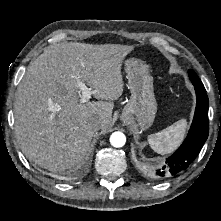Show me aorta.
Instances as JSON below:
<instances>
[{"instance_id":"aorta-1","label":"aorta","mask_w":221,"mask_h":221,"mask_svg":"<svg viewBox=\"0 0 221 221\" xmlns=\"http://www.w3.org/2000/svg\"><path fill=\"white\" fill-rule=\"evenodd\" d=\"M110 143L113 147L119 148L125 145L126 137L122 132H114L110 136Z\"/></svg>"}]
</instances>
